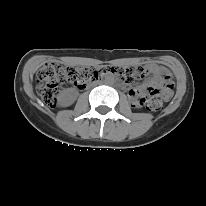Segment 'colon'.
<instances>
[{
  "label": "colon",
  "instance_id": "1",
  "mask_svg": "<svg viewBox=\"0 0 206 206\" xmlns=\"http://www.w3.org/2000/svg\"><path fill=\"white\" fill-rule=\"evenodd\" d=\"M113 73L120 75L125 80H134L144 76L143 67H107L96 69L91 67H66L59 63L51 62L43 65L36 74V90L45 104L53 106L59 86L63 83L72 84L78 88H85L87 83L97 80L102 74ZM173 84L166 75L159 84L150 85L147 94L139 97V104L149 110L158 111L162 101L170 98Z\"/></svg>",
  "mask_w": 206,
  "mask_h": 206
}]
</instances>
